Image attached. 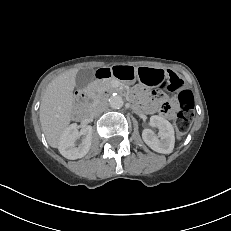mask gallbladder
I'll return each mask as SVG.
<instances>
[{"instance_id": "gallbladder-1", "label": "gallbladder", "mask_w": 231, "mask_h": 231, "mask_svg": "<svg viewBox=\"0 0 231 231\" xmlns=\"http://www.w3.org/2000/svg\"><path fill=\"white\" fill-rule=\"evenodd\" d=\"M93 73L89 69H82L76 75V87L79 89L85 88L91 81Z\"/></svg>"}]
</instances>
